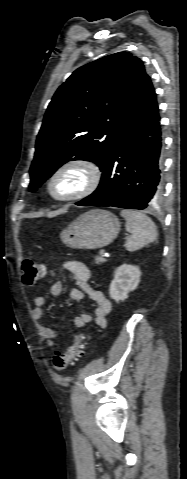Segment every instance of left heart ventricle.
I'll use <instances>...</instances> for the list:
<instances>
[{"instance_id":"1","label":"left heart ventricle","mask_w":187,"mask_h":479,"mask_svg":"<svg viewBox=\"0 0 187 479\" xmlns=\"http://www.w3.org/2000/svg\"><path fill=\"white\" fill-rule=\"evenodd\" d=\"M83 181V174L79 171H70L60 177L53 190L59 196H65L75 191Z\"/></svg>"}]
</instances>
